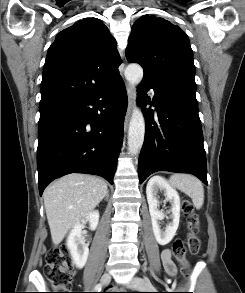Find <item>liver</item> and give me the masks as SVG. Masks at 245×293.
Instances as JSON below:
<instances>
[{"label": "liver", "mask_w": 245, "mask_h": 293, "mask_svg": "<svg viewBox=\"0 0 245 293\" xmlns=\"http://www.w3.org/2000/svg\"><path fill=\"white\" fill-rule=\"evenodd\" d=\"M107 193L104 180L86 174H69L49 185L43 196L53 244H60L67 232Z\"/></svg>", "instance_id": "1"}]
</instances>
